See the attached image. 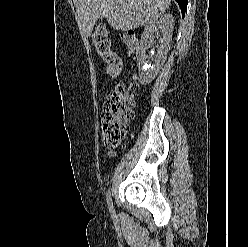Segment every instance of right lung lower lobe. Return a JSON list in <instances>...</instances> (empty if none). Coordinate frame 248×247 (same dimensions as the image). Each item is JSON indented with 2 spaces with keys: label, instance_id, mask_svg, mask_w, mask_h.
Masks as SVG:
<instances>
[{
  "label": "right lung lower lobe",
  "instance_id": "98d812e1",
  "mask_svg": "<svg viewBox=\"0 0 248 247\" xmlns=\"http://www.w3.org/2000/svg\"><path fill=\"white\" fill-rule=\"evenodd\" d=\"M176 1L179 4V7H180L181 12H182V16L184 17L185 11H186V8H187V1L188 0H176Z\"/></svg>",
  "mask_w": 248,
  "mask_h": 247
}]
</instances>
